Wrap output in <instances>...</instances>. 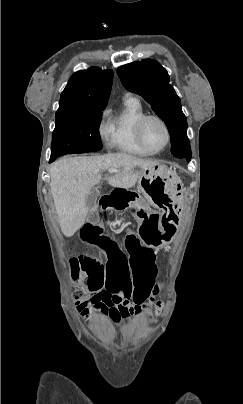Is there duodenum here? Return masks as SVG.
Wrapping results in <instances>:
<instances>
[{
	"instance_id": "duodenum-1",
	"label": "duodenum",
	"mask_w": 243,
	"mask_h": 404,
	"mask_svg": "<svg viewBox=\"0 0 243 404\" xmlns=\"http://www.w3.org/2000/svg\"><path fill=\"white\" fill-rule=\"evenodd\" d=\"M137 194L123 187L114 188L109 194L103 196L99 201V209L125 210L135 205Z\"/></svg>"
}]
</instances>
